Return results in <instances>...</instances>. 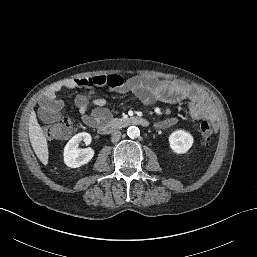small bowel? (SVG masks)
Masks as SVG:
<instances>
[{"instance_id":"small-bowel-1","label":"small bowel","mask_w":257,"mask_h":257,"mask_svg":"<svg viewBox=\"0 0 257 257\" xmlns=\"http://www.w3.org/2000/svg\"><path fill=\"white\" fill-rule=\"evenodd\" d=\"M63 88L88 89V93L76 97L75 104L79 110L81 121L94 128L111 119L107 101L104 98L92 99L95 88H106L119 94L132 93L143 104H151L155 101L176 104L187 101L192 118L201 120L211 116V106L204 94L181 81L158 80L146 76L124 79L120 75L113 74L70 78L56 82L40 100V114L45 120L53 121L58 117L61 102L57 99V93ZM91 107L93 108L91 109ZM176 123V118H167L158 122L156 127L166 129Z\"/></svg>"}]
</instances>
